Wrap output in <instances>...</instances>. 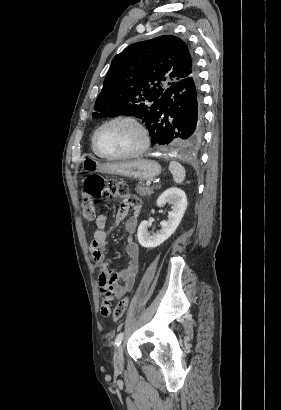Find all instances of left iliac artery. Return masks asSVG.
Here are the masks:
<instances>
[{
    "label": "left iliac artery",
    "mask_w": 281,
    "mask_h": 410,
    "mask_svg": "<svg viewBox=\"0 0 281 410\" xmlns=\"http://www.w3.org/2000/svg\"><path fill=\"white\" fill-rule=\"evenodd\" d=\"M123 335H124V333L121 332L116 336V339H115V346L116 347H118L121 344L122 339H123Z\"/></svg>",
    "instance_id": "obj_1"
}]
</instances>
